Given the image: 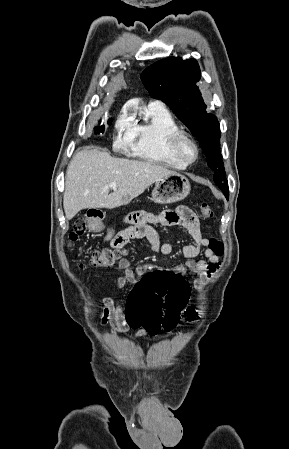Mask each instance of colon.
Here are the masks:
<instances>
[{
	"mask_svg": "<svg viewBox=\"0 0 289 449\" xmlns=\"http://www.w3.org/2000/svg\"><path fill=\"white\" fill-rule=\"evenodd\" d=\"M214 216L213 209L207 203L199 206L201 220H209ZM88 222L85 218L77 219L69 234L71 242L78 240L85 232ZM209 247L214 254H223V244L215 238L209 240ZM123 258V251L115 247H107L93 252L90 263L96 267L107 268L116 265ZM128 301L125 302L127 320L132 328H143L150 335L161 330H173L181 313L186 309L189 286L178 271L163 268L155 272L149 269L134 283Z\"/></svg>",
	"mask_w": 289,
	"mask_h": 449,
	"instance_id": "obj_1",
	"label": "colon"
}]
</instances>
